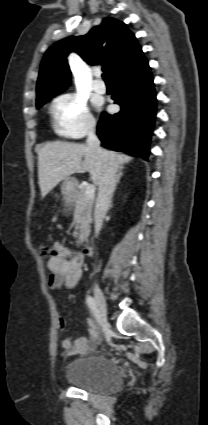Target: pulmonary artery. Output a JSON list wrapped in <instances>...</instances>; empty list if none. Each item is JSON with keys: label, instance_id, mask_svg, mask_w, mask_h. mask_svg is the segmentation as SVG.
I'll return each mask as SVG.
<instances>
[{"label": "pulmonary artery", "instance_id": "1", "mask_svg": "<svg viewBox=\"0 0 208 425\" xmlns=\"http://www.w3.org/2000/svg\"><path fill=\"white\" fill-rule=\"evenodd\" d=\"M93 90L97 93L103 94L106 92L107 88L105 83L98 79L93 83Z\"/></svg>", "mask_w": 208, "mask_h": 425}]
</instances>
